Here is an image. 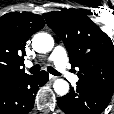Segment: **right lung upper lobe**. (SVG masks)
Masks as SVG:
<instances>
[{
  "mask_svg": "<svg viewBox=\"0 0 114 114\" xmlns=\"http://www.w3.org/2000/svg\"><path fill=\"white\" fill-rule=\"evenodd\" d=\"M45 22L40 15L29 12H12L0 17V84L27 75L24 65L26 41Z\"/></svg>",
  "mask_w": 114,
  "mask_h": 114,
  "instance_id": "cb5924a9",
  "label": "right lung upper lobe"
}]
</instances>
